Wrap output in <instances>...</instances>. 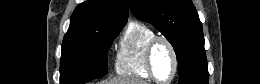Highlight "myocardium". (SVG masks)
Returning a JSON list of instances; mask_svg holds the SVG:
<instances>
[{
    "label": "myocardium",
    "instance_id": "myocardium-1",
    "mask_svg": "<svg viewBox=\"0 0 260 84\" xmlns=\"http://www.w3.org/2000/svg\"><path fill=\"white\" fill-rule=\"evenodd\" d=\"M160 43L165 44L169 48L171 55H172V59H173L172 74L169 77V79L164 80V81L159 80L157 78L155 70H154V66H153L154 53ZM146 69H147V72L150 75L151 79L157 83L167 84V83L172 82L175 79V77L178 73V69H179V58H178V54H177L174 44L167 37L162 36V35H155L149 41L147 48H146Z\"/></svg>",
    "mask_w": 260,
    "mask_h": 84
}]
</instances>
